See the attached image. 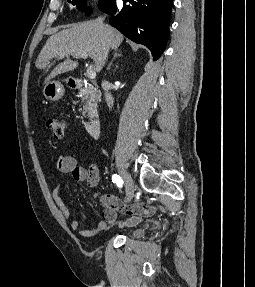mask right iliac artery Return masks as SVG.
<instances>
[{
  "instance_id": "obj_1",
  "label": "right iliac artery",
  "mask_w": 255,
  "mask_h": 287,
  "mask_svg": "<svg viewBox=\"0 0 255 287\" xmlns=\"http://www.w3.org/2000/svg\"><path fill=\"white\" fill-rule=\"evenodd\" d=\"M112 181L114 182V183H116V185L118 186V187H122V185H123V181H122V179H121V177L120 176H118V175H116V174H114L113 176H112Z\"/></svg>"
}]
</instances>
